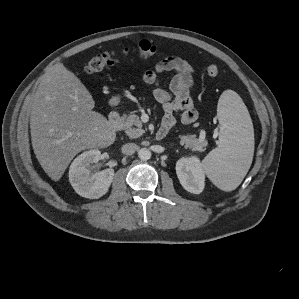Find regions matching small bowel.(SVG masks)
Here are the masks:
<instances>
[{"label":"small bowel","mask_w":299,"mask_h":299,"mask_svg":"<svg viewBox=\"0 0 299 299\" xmlns=\"http://www.w3.org/2000/svg\"><path fill=\"white\" fill-rule=\"evenodd\" d=\"M163 72H173L169 90L159 85L158 75ZM193 67L183 58L169 56L158 62L153 69L146 71L142 81L148 85H155L154 99L160 103L165 111L163 127L168 131L175 125V113H181L184 124L190 125L197 120V112L193 107L191 94L194 86Z\"/></svg>","instance_id":"1"}]
</instances>
